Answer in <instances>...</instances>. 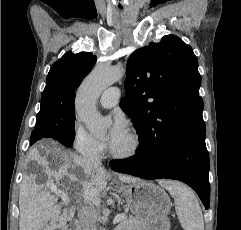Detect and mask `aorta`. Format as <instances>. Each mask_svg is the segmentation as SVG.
Wrapping results in <instances>:
<instances>
[{
  "label": "aorta",
  "mask_w": 241,
  "mask_h": 230,
  "mask_svg": "<svg viewBox=\"0 0 241 230\" xmlns=\"http://www.w3.org/2000/svg\"><path fill=\"white\" fill-rule=\"evenodd\" d=\"M125 74L124 67H96L83 81L77 92L76 111L80 120L95 136H101L111 124V120L100 115L96 102L101 93L118 82ZM106 230V228H102Z\"/></svg>",
  "instance_id": "1"
}]
</instances>
